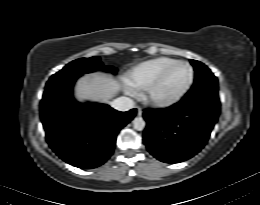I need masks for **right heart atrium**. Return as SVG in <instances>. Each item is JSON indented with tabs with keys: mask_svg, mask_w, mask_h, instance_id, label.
Instances as JSON below:
<instances>
[{
	"mask_svg": "<svg viewBox=\"0 0 260 205\" xmlns=\"http://www.w3.org/2000/svg\"><path fill=\"white\" fill-rule=\"evenodd\" d=\"M127 92L130 93V90L128 89Z\"/></svg>",
	"mask_w": 260,
	"mask_h": 205,
	"instance_id": "1",
	"label": "right heart atrium"
}]
</instances>
